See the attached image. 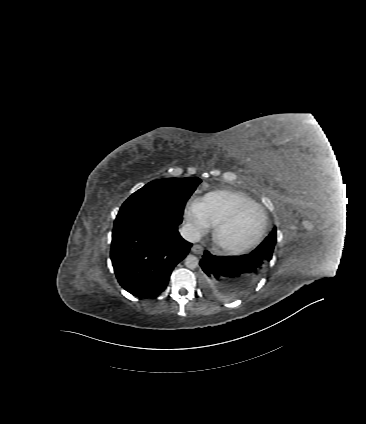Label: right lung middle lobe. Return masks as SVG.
Masks as SVG:
<instances>
[{"mask_svg":"<svg viewBox=\"0 0 366 424\" xmlns=\"http://www.w3.org/2000/svg\"><path fill=\"white\" fill-rule=\"evenodd\" d=\"M200 182L196 177L149 182L123 203L116 220L154 215L178 226L182 222L185 204Z\"/></svg>","mask_w":366,"mask_h":424,"instance_id":"obj_1","label":"right lung middle lobe"}]
</instances>
